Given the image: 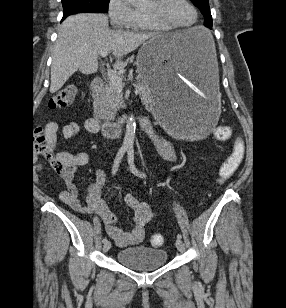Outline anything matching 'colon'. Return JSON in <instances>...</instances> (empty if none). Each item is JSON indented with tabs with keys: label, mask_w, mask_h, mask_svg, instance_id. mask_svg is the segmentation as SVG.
Returning a JSON list of instances; mask_svg holds the SVG:
<instances>
[{
	"label": "colon",
	"mask_w": 286,
	"mask_h": 308,
	"mask_svg": "<svg viewBox=\"0 0 286 308\" xmlns=\"http://www.w3.org/2000/svg\"><path fill=\"white\" fill-rule=\"evenodd\" d=\"M77 95V87L75 85H67L57 91L49 100L50 109H61L69 107ZM232 128L229 126L219 127L215 130V137L222 141H227L232 136ZM35 148L40 156L48 159L52 167L61 172L63 170L62 163L54 154L53 144L48 140L42 129L35 131ZM244 157V146L240 141L234 143L233 149L229 156L225 159L219 170V182L223 183L229 180L240 167ZM151 244L153 247H160L164 244V238L161 234L151 236Z\"/></svg>",
	"instance_id": "colon-1"
}]
</instances>
